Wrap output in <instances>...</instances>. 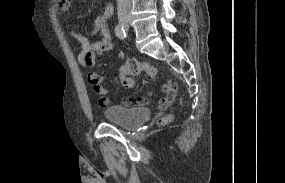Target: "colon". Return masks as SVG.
<instances>
[{
	"mask_svg": "<svg viewBox=\"0 0 285 183\" xmlns=\"http://www.w3.org/2000/svg\"><path fill=\"white\" fill-rule=\"evenodd\" d=\"M61 1L63 2L64 0ZM119 73H120V83L125 88H132L134 85L133 78L141 73H145L150 78H156L158 75L155 67L147 63L140 62L133 58L128 59L123 65H121ZM135 102H142V101L134 99L129 100L130 105ZM169 119L170 116H164L159 120V123H164Z\"/></svg>",
	"mask_w": 285,
	"mask_h": 183,
	"instance_id": "obj_1",
	"label": "colon"
}]
</instances>
